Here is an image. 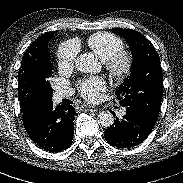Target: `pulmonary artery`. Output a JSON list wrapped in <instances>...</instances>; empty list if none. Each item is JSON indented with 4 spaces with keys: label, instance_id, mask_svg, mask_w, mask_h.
<instances>
[{
    "label": "pulmonary artery",
    "instance_id": "pulmonary-artery-1",
    "mask_svg": "<svg viewBox=\"0 0 183 183\" xmlns=\"http://www.w3.org/2000/svg\"><path fill=\"white\" fill-rule=\"evenodd\" d=\"M71 93V90L68 88H59L54 92V101L60 102L62 99L69 97ZM121 112L125 113V108H123Z\"/></svg>",
    "mask_w": 183,
    "mask_h": 183
}]
</instances>
